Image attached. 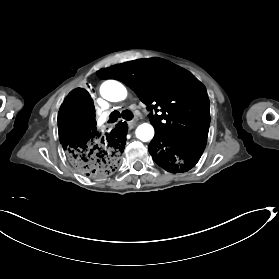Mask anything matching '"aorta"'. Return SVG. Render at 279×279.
<instances>
[{
	"label": "aorta",
	"instance_id": "aorta-1",
	"mask_svg": "<svg viewBox=\"0 0 279 279\" xmlns=\"http://www.w3.org/2000/svg\"><path fill=\"white\" fill-rule=\"evenodd\" d=\"M101 96L111 102L122 101L127 96L123 84L116 80H107L100 87ZM136 137L143 142H148L154 137V128L151 124L143 123L136 129Z\"/></svg>",
	"mask_w": 279,
	"mask_h": 279
}]
</instances>
